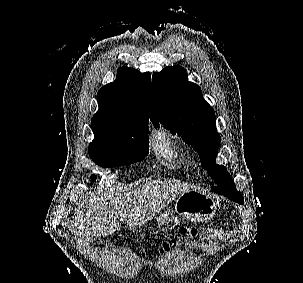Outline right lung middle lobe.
Here are the masks:
<instances>
[{
    "label": "right lung middle lobe",
    "mask_w": 303,
    "mask_h": 283,
    "mask_svg": "<svg viewBox=\"0 0 303 283\" xmlns=\"http://www.w3.org/2000/svg\"><path fill=\"white\" fill-rule=\"evenodd\" d=\"M89 144L92 160L104 168L130 165L142 161L149 151L147 123L129 125L120 129L93 131ZM96 179V176H92Z\"/></svg>",
    "instance_id": "dd1d6c3e"
}]
</instances>
